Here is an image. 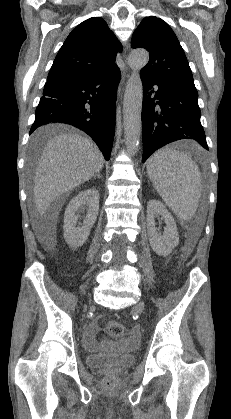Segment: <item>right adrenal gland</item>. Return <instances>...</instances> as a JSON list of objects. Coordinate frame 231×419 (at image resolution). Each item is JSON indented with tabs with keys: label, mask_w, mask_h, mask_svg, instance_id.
<instances>
[{
	"label": "right adrenal gland",
	"mask_w": 231,
	"mask_h": 419,
	"mask_svg": "<svg viewBox=\"0 0 231 419\" xmlns=\"http://www.w3.org/2000/svg\"><path fill=\"white\" fill-rule=\"evenodd\" d=\"M94 178H101L100 173L96 174V175L94 176Z\"/></svg>",
	"instance_id": "obj_1"
}]
</instances>
